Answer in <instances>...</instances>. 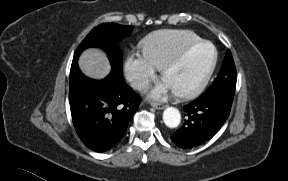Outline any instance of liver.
Instances as JSON below:
<instances>
[{"instance_id": "liver-1", "label": "liver", "mask_w": 288, "mask_h": 181, "mask_svg": "<svg viewBox=\"0 0 288 181\" xmlns=\"http://www.w3.org/2000/svg\"><path fill=\"white\" fill-rule=\"evenodd\" d=\"M78 65L86 76L93 79H102L111 70L106 54L96 48L85 50L78 60Z\"/></svg>"}]
</instances>
